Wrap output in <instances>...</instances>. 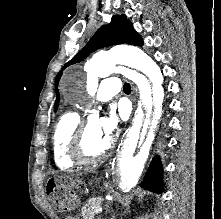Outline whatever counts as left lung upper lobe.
Returning <instances> with one entry per match:
<instances>
[{
    "instance_id": "left-lung-upper-lobe-1",
    "label": "left lung upper lobe",
    "mask_w": 221,
    "mask_h": 219,
    "mask_svg": "<svg viewBox=\"0 0 221 219\" xmlns=\"http://www.w3.org/2000/svg\"><path fill=\"white\" fill-rule=\"evenodd\" d=\"M114 44H130L135 46H141L143 44L140 35L134 30L132 23L125 15H115L112 17L110 24L101 26L88 42V44L76 56L67 62L63 69L69 65L82 61L87 56H89L91 52L99 48L111 46ZM61 75L62 71L58 73L55 80L57 97L55 101V110L58 108L60 99L57 85Z\"/></svg>"
}]
</instances>
